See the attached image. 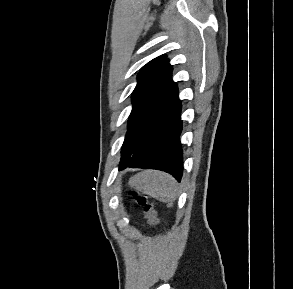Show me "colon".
<instances>
[{
    "label": "colon",
    "mask_w": 293,
    "mask_h": 289,
    "mask_svg": "<svg viewBox=\"0 0 293 289\" xmlns=\"http://www.w3.org/2000/svg\"><path fill=\"white\" fill-rule=\"evenodd\" d=\"M134 199L137 205L143 210L147 222L152 225H159L160 221L151 200L146 195L139 193L134 194Z\"/></svg>",
    "instance_id": "5ec220e1"
}]
</instances>
